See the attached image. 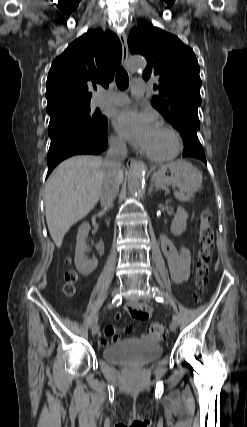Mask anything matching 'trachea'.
Segmentation results:
<instances>
[{"instance_id":"1","label":"trachea","mask_w":247,"mask_h":427,"mask_svg":"<svg viewBox=\"0 0 247 427\" xmlns=\"http://www.w3.org/2000/svg\"><path fill=\"white\" fill-rule=\"evenodd\" d=\"M129 84V78L127 72L120 67L116 72V85L120 90L127 89Z\"/></svg>"}]
</instances>
